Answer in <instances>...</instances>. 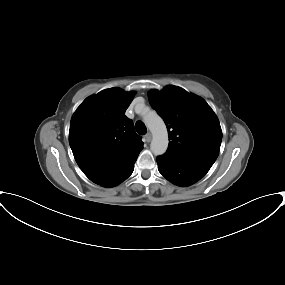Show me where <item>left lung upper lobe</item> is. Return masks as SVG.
Listing matches in <instances>:
<instances>
[{
	"instance_id": "5c2ea615",
	"label": "left lung upper lobe",
	"mask_w": 285,
	"mask_h": 285,
	"mask_svg": "<svg viewBox=\"0 0 285 285\" xmlns=\"http://www.w3.org/2000/svg\"><path fill=\"white\" fill-rule=\"evenodd\" d=\"M150 105L164 119L169 147L165 154L211 167L222 141L219 120L202 98L177 86L152 90Z\"/></svg>"
}]
</instances>
